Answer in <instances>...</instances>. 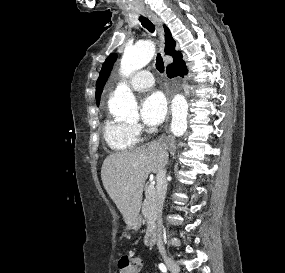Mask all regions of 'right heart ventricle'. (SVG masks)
Returning a JSON list of instances; mask_svg holds the SVG:
<instances>
[{"mask_svg":"<svg viewBox=\"0 0 285 273\" xmlns=\"http://www.w3.org/2000/svg\"><path fill=\"white\" fill-rule=\"evenodd\" d=\"M102 133L106 144L116 152L132 150L138 142L131 125L111 118L104 121Z\"/></svg>","mask_w":285,"mask_h":273,"instance_id":"1","label":"right heart ventricle"}]
</instances>
